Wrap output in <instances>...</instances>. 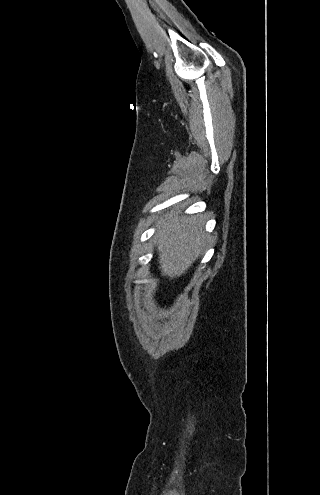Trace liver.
I'll return each mask as SVG.
<instances>
[{
	"instance_id": "1",
	"label": "liver",
	"mask_w": 320,
	"mask_h": 495,
	"mask_svg": "<svg viewBox=\"0 0 320 495\" xmlns=\"http://www.w3.org/2000/svg\"><path fill=\"white\" fill-rule=\"evenodd\" d=\"M181 210L161 217L155 235L163 276L180 277L198 258L209 240L201 215L180 216Z\"/></svg>"
}]
</instances>
